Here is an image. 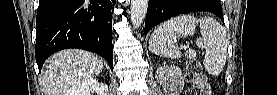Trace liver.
<instances>
[{
	"mask_svg": "<svg viewBox=\"0 0 277 95\" xmlns=\"http://www.w3.org/2000/svg\"><path fill=\"white\" fill-rule=\"evenodd\" d=\"M103 62L91 52L68 49L52 55L43 73L47 95H68L82 80L99 75Z\"/></svg>",
	"mask_w": 277,
	"mask_h": 95,
	"instance_id": "1",
	"label": "liver"
}]
</instances>
